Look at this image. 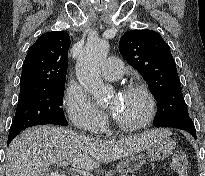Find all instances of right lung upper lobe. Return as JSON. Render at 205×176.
Instances as JSON below:
<instances>
[{"mask_svg":"<svg viewBox=\"0 0 205 176\" xmlns=\"http://www.w3.org/2000/svg\"><path fill=\"white\" fill-rule=\"evenodd\" d=\"M70 37L53 31L41 35L29 48L20 81V95L45 90L66 80Z\"/></svg>","mask_w":205,"mask_h":176,"instance_id":"1","label":"right lung upper lobe"}]
</instances>
